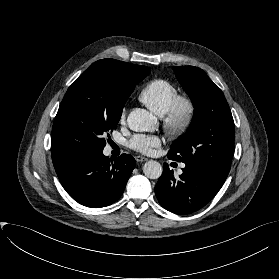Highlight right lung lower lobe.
<instances>
[{"mask_svg":"<svg viewBox=\"0 0 279 279\" xmlns=\"http://www.w3.org/2000/svg\"><path fill=\"white\" fill-rule=\"evenodd\" d=\"M134 163L129 154L113 161L103 151H97L53 164L59 181L74 200L86 207L99 208L121 197Z\"/></svg>","mask_w":279,"mask_h":279,"instance_id":"right-lung-lower-lobe-1","label":"right lung lower lobe"}]
</instances>
